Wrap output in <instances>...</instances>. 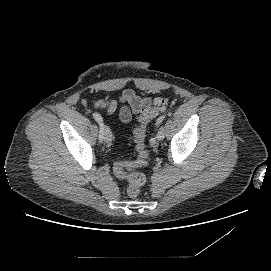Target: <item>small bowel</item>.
<instances>
[{
  "instance_id": "1",
  "label": "small bowel",
  "mask_w": 271,
  "mask_h": 271,
  "mask_svg": "<svg viewBox=\"0 0 271 271\" xmlns=\"http://www.w3.org/2000/svg\"><path fill=\"white\" fill-rule=\"evenodd\" d=\"M119 101L123 103L120 111V119L125 124L129 123L134 115L140 114L150 105V100L148 98L141 97L132 90L124 91L121 94ZM94 107L105 110L108 114H112L118 107V101L115 99L97 100L94 103Z\"/></svg>"
}]
</instances>
